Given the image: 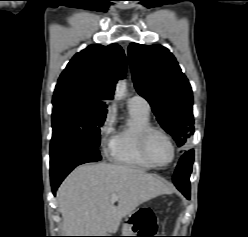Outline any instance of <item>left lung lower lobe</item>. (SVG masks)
Listing matches in <instances>:
<instances>
[{
    "instance_id": "left-lung-lower-lobe-1",
    "label": "left lung lower lobe",
    "mask_w": 248,
    "mask_h": 237,
    "mask_svg": "<svg viewBox=\"0 0 248 237\" xmlns=\"http://www.w3.org/2000/svg\"><path fill=\"white\" fill-rule=\"evenodd\" d=\"M193 159H194L193 150L186 152L180 159L173 178V182L175 186L178 188L179 191L182 192V194L187 199L190 198L189 177L192 171ZM184 174H188L189 176H187L186 178H182L181 180L177 178V176L182 177Z\"/></svg>"
}]
</instances>
